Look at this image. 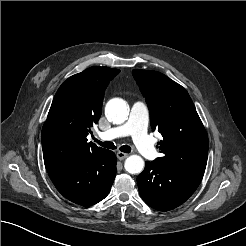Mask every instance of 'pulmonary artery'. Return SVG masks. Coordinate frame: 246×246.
Instances as JSON below:
<instances>
[{
    "label": "pulmonary artery",
    "instance_id": "e3ab8cb5",
    "mask_svg": "<svg viewBox=\"0 0 246 246\" xmlns=\"http://www.w3.org/2000/svg\"><path fill=\"white\" fill-rule=\"evenodd\" d=\"M148 124V108L143 102L138 101L133 104L129 117L123 125L102 132L99 137L102 140H113L131 136L140 153L148 159H154L157 152L147 134Z\"/></svg>",
    "mask_w": 246,
    "mask_h": 246
}]
</instances>
